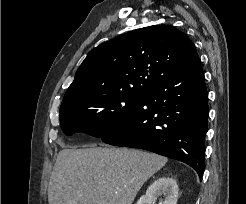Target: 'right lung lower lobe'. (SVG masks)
Instances as JSON below:
<instances>
[{
  "label": "right lung lower lobe",
  "instance_id": "obj_1",
  "mask_svg": "<svg viewBox=\"0 0 246 204\" xmlns=\"http://www.w3.org/2000/svg\"><path fill=\"white\" fill-rule=\"evenodd\" d=\"M208 114V94L198 59L143 92L126 121L101 139L182 161L201 179Z\"/></svg>",
  "mask_w": 246,
  "mask_h": 204
}]
</instances>
